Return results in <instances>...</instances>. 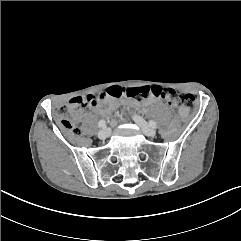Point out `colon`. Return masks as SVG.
Wrapping results in <instances>:
<instances>
[{
    "label": "colon",
    "mask_w": 241,
    "mask_h": 241,
    "mask_svg": "<svg viewBox=\"0 0 241 241\" xmlns=\"http://www.w3.org/2000/svg\"><path fill=\"white\" fill-rule=\"evenodd\" d=\"M128 97L133 99H147L156 97L169 102L177 103L184 109H191L195 100L191 94H179L173 89L161 86H142V87H119L114 86L102 92L98 96L81 95L71 99L66 105L62 106L57 112V119L60 124L72 132L79 134V117L82 111L88 107L94 106L99 102H103L107 98ZM181 124L179 119H171L169 121V129L176 131Z\"/></svg>",
    "instance_id": "1"
}]
</instances>
